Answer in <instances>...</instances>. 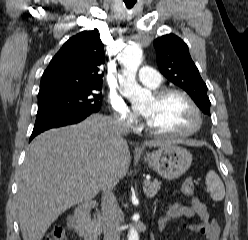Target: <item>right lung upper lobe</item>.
Returning <instances> with one entry per match:
<instances>
[{
    "instance_id": "right-lung-upper-lobe-1",
    "label": "right lung upper lobe",
    "mask_w": 248,
    "mask_h": 240,
    "mask_svg": "<svg viewBox=\"0 0 248 240\" xmlns=\"http://www.w3.org/2000/svg\"><path fill=\"white\" fill-rule=\"evenodd\" d=\"M104 45L97 31L71 37L43 73L40 95L79 89H101Z\"/></svg>"
}]
</instances>
